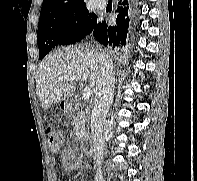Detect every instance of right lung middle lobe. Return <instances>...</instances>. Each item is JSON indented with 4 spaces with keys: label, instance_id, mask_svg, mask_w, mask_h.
Listing matches in <instances>:
<instances>
[{
    "label": "right lung middle lobe",
    "instance_id": "obj_1",
    "mask_svg": "<svg viewBox=\"0 0 197 181\" xmlns=\"http://www.w3.org/2000/svg\"><path fill=\"white\" fill-rule=\"evenodd\" d=\"M97 23V16L89 13L86 7L39 19V59H43L57 45L80 41L92 32Z\"/></svg>",
    "mask_w": 197,
    "mask_h": 181
}]
</instances>
